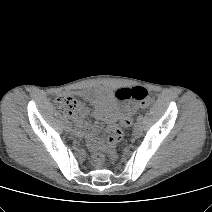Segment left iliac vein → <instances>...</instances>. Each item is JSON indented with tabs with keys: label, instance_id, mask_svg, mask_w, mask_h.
<instances>
[{
	"label": "left iliac vein",
	"instance_id": "obj_1",
	"mask_svg": "<svg viewBox=\"0 0 212 212\" xmlns=\"http://www.w3.org/2000/svg\"><path fill=\"white\" fill-rule=\"evenodd\" d=\"M141 130H142L141 123L137 121V122L134 124L133 132H134L135 135H139V134L141 133Z\"/></svg>",
	"mask_w": 212,
	"mask_h": 212
}]
</instances>
